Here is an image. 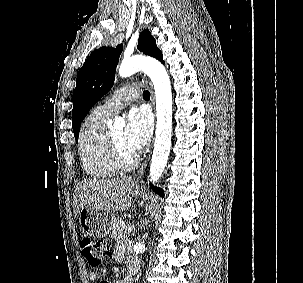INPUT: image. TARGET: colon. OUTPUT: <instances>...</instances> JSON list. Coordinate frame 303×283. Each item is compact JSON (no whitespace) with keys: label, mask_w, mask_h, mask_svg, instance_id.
<instances>
[{"label":"colon","mask_w":303,"mask_h":283,"mask_svg":"<svg viewBox=\"0 0 303 283\" xmlns=\"http://www.w3.org/2000/svg\"><path fill=\"white\" fill-rule=\"evenodd\" d=\"M80 250L89 266L98 268L109 254L106 242L98 239L85 238L80 242ZM101 283H107L102 281Z\"/></svg>","instance_id":"colon-1"}]
</instances>
